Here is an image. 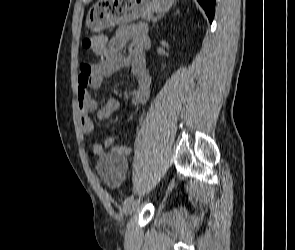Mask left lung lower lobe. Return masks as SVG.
<instances>
[{"label":"left lung lower lobe","mask_w":295,"mask_h":250,"mask_svg":"<svg viewBox=\"0 0 295 250\" xmlns=\"http://www.w3.org/2000/svg\"><path fill=\"white\" fill-rule=\"evenodd\" d=\"M205 10L210 22H212L215 13V0H197Z\"/></svg>","instance_id":"0a47b994"}]
</instances>
